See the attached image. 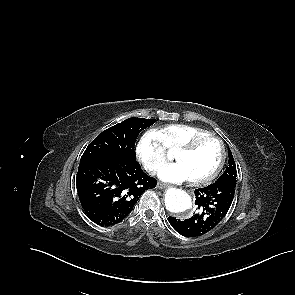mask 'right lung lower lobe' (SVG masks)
I'll return each instance as SVG.
<instances>
[{
	"label": "right lung lower lobe",
	"instance_id": "obj_1",
	"mask_svg": "<svg viewBox=\"0 0 295 295\" xmlns=\"http://www.w3.org/2000/svg\"><path fill=\"white\" fill-rule=\"evenodd\" d=\"M156 184L135 158L126 155L80 163L76 177L83 209L93 222L102 226L124 220L142 193Z\"/></svg>",
	"mask_w": 295,
	"mask_h": 295
}]
</instances>
